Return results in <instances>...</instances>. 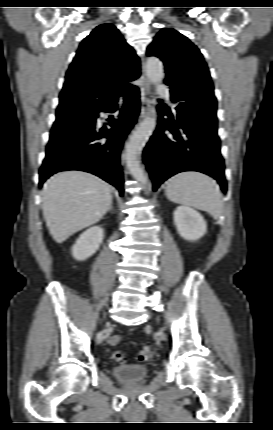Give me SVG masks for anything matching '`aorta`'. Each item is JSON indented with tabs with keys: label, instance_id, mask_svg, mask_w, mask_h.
<instances>
[{
	"label": "aorta",
	"instance_id": "762f6f07",
	"mask_svg": "<svg viewBox=\"0 0 273 430\" xmlns=\"http://www.w3.org/2000/svg\"><path fill=\"white\" fill-rule=\"evenodd\" d=\"M146 71L150 82L153 84L161 82L164 78L163 63L158 58L151 57L147 60ZM151 113L155 115V108H152ZM155 123L156 120L154 117H146L130 136L125 146L124 159L126 167L135 180L144 185L148 183V179L144 169L140 165L139 156L149 137L152 135ZM146 191H148V188H146Z\"/></svg>",
	"mask_w": 273,
	"mask_h": 430
}]
</instances>
